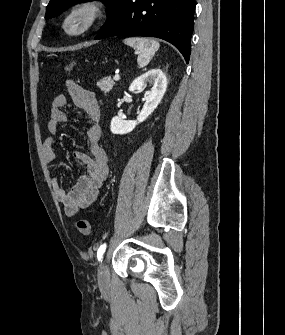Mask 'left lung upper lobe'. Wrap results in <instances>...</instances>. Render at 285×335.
I'll return each mask as SVG.
<instances>
[{"instance_id":"left-lung-upper-lobe-1","label":"left lung upper lobe","mask_w":285,"mask_h":335,"mask_svg":"<svg viewBox=\"0 0 285 335\" xmlns=\"http://www.w3.org/2000/svg\"><path fill=\"white\" fill-rule=\"evenodd\" d=\"M79 1L85 2L92 0H50L48 6L46 7L45 18L49 19L51 17H55L60 13H62V11L65 10L66 8ZM101 1L106 4L108 8L107 13L109 14L120 0H101Z\"/></svg>"}]
</instances>
